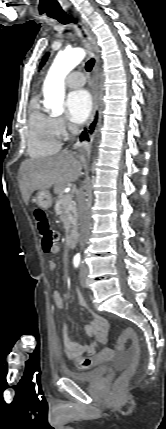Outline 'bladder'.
<instances>
[{
	"label": "bladder",
	"instance_id": "obj_1",
	"mask_svg": "<svg viewBox=\"0 0 166 429\" xmlns=\"http://www.w3.org/2000/svg\"><path fill=\"white\" fill-rule=\"evenodd\" d=\"M108 366H100L87 372L66 370L65 375L78 383H89L106 375Z\"/></svg>",
	"mask_w": 166,
	"mask_h": 429
}]
</instances>
